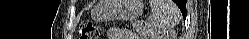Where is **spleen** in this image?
<instances>
[{"mask_svg":"<svg viewBox=\"0 0 249 39\" xmlns=\"http://www.w3.org/2000/svg\"><path fill=\"white\" fill-rule=\"evenodd\" d=\"M150 6L153 10L150 24L156 37H162L181 19L180 10L172 0H150Z\"/></svg>","mask_w":249,"mask_h":39,"instance_id":"spleen-1","label":"spleen"}]
</instances>
